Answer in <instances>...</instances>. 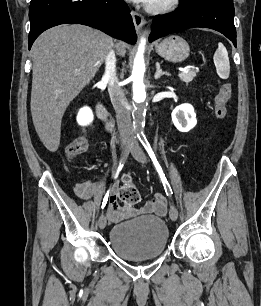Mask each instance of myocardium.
<instances>
[{"label":"myocardium","mask_w":261,"mask_h":306,"mask_svg":"<svg viewBox=\"0 0 261 306\" xmlns=\"http://www.w3.org/2000/svg\"><path fill=\"white\" fill-rule=\"evenodd\" d=\"M180 0H162L159 2L150 1L147 10L151 13L161 14L170 12L178 7Z\"/></svg>","instance_id":"myocardium-1"}]
</instances>
